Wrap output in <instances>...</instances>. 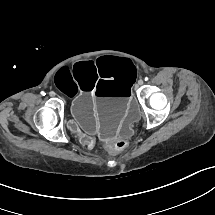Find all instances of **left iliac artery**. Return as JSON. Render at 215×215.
<instances>
[{"mask_svg":"<svg viewBox=\"0 0 215 215\" xmlns=\"http://www.w3.org/2000/svg\"><path fill=\"white\" fill-rule=\"evenodd\" d=\"M148 79H149L148 77H145V81H148Z\"/></svg>","mask_w":215,"mask_h":215,"instance_id":"44dca946","label":"left iliac artery"}]
</instances>
